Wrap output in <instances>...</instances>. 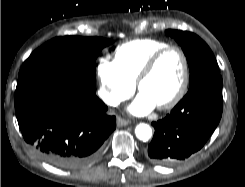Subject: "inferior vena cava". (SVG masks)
<instances>
[{"label":"inferior vena cava","instance_id":"inferior-vena-cava-1","mask_svg":"<svg viewBox=\"0 0 245 187\" xmlns=\"http://www.w3.org/2000/svg\"><path fill=\"white\" fill-rule=\"evenodd\" d=\"M109 104H110V105H116L117 102H116L115 100H109Z\"/></svg>","mask_w":245,"mask_h":187}]
</instances>
